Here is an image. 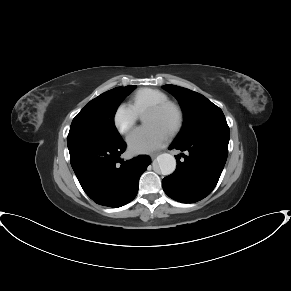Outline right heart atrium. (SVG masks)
<instances>
[{
	"mask_svg": "<svg viewBox=\"0 0 291 291\" xmlns=\"http://www.w3.org/2000/svg\"><path fill=\"white\" fill-rule=\"evenodd\" d=\"M138 114L130 104L121 103L115 110L113 121L121 134H127L136 124Z\"/></svg>",
	"mask_w": 291,
	"mask_h": 291,
	"instance_id": "obj_1",
	"label": "right heart atrium"
}]
</instances>
